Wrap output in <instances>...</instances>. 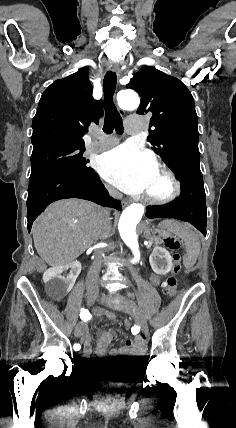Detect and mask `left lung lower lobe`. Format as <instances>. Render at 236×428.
Listing matches in <instances>:
<instances>
[{"label": "left lung lower lobe", "instance_id": "obj_1", "mask_svg": "<svg viewBox=\"0 0 236 428\" xmlns=\"http://www.w3.org/2000/svg\"><path fill=\"white\" fill-rule=\"evenodd\" d=\"M181 194L176 202L147 208L148 218H174L194 225L206 236V195L202 176L177 175Z\"/></svg>", "mask_w": 236, "mask_h": 428}]
</instances>
